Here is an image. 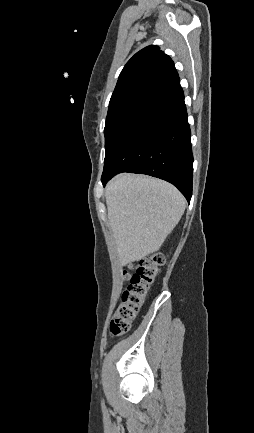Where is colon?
<instances>
[{
    "label": "colon",
    "mask_w": 254,
    "mask_h": 433,
    "mask_svg": "<svg viewBox=\"0 0 254 433\" xmlns=\"http://www.w3.org/2000/svg\"><path fill=\"white\" fill-rule=\"evenodd\" d=\"M163 255L156 253L141 259L133 273L126 272L129 285L121 296V301L110 322V334L114 337L126 334L135 321L151 284L163 265Z\"/></svg>",
    "instance_id": "1"
}]
</instances>
